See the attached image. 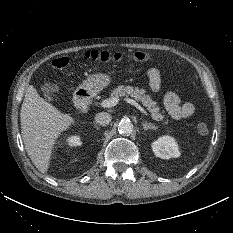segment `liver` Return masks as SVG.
I'll use <instances>...</instances> for the list:
<instances>
[{
    "mask_svg": "<svg viewBox=\"0 0 233 233\" xmlns=\"http://www.w3.org/2000/svg\"><path fill=\"white\" fill-rule=\"evenodd\" d=\"M20 122L22 139L31 161L40 172H47L55 141L74 124L73 117L40 97L30 85L21 107Z\"/></svg>",
    "mask_w": 233,
    "mask_h": 233,
    "instance_id": "liver-1",
    "label": "liver"
}]
</instances>
